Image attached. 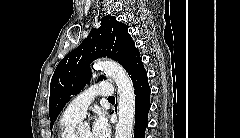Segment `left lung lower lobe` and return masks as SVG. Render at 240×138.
<instances>
[{"mask_svg":"<svg viewBox=\"0 0 240 138\" xmlns=\"http://www.w3.org/2000/svg\"><path fill=\"white\" fill-rule=\"evenodd\" d=\"M127 72L133 81L135 93V134L134 138H145L150 110V87L147 72L141 61L140 53L132 60Z\"/></svg>","mask_w":240,"mask_h":138,"instance_id":"left-lung-lower-lobe-1","label":"left lung lower lobe"}]
</instances>
